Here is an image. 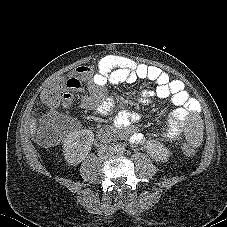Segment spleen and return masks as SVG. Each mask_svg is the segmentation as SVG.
<instances>
[{
	"mask_svg": "<svg viewBox=\"0 0 227 227\" xmlns=\"http://www.w3.org/2000/svg\"><path fill=\"white\" fill-rule=\"evenodd\" d=\"M184 136L186 141L192 146H199L205 141V120L200 114L191 113L185 118Z\"/></svg>",
	"mask_w": 227,
	"mask_h": 227,
	"instance_id": "3e777b00",
	"label": "spleen"
}]
</instances>
